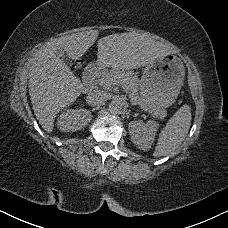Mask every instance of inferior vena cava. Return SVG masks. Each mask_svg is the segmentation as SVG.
Instances as JSON below:
<instances>
[{
	"mask_svg": "<svg viewBox=\"0 0 228 228\" xmlns=\"http://www.w3.org/2000/svg\"><path fill=\"white\" fill-rule=\"evenodd\" d=\"M109 97L110 95L107 91L95 90L86 96V102L90 106H99L104 104L109 99Z\"/></svg>",
	"mask_w": 228,
	"mask_h": 228,
	"instance_id": "602c4592",
	"label": "inferior vena cava"
}]
</instances>
